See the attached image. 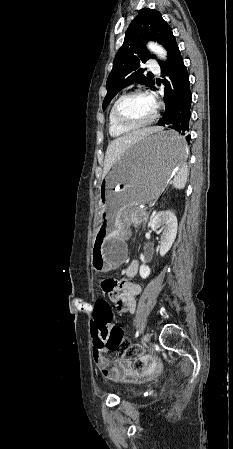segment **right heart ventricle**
Segmentation results:
<instances>
[{"label":"right heart ventricle","mask_w":233,"mask_h":449,"mask_svg":"<svg viewBox=\"0 0 233 449\" xmlns=\"http://www.w3.org/2000/svg\"><path fill=\"white\" fill-rule=\"evenodd\" d=\"M112 108L109 111V115H108V131L109 134L113 137V138H118V137H122L127 135L131 130H127V129H122L120 128L113 120L112 118V113H111Z\"/></svg>","instance_id":"right-heart-ventricle-1"}]
</instances>
